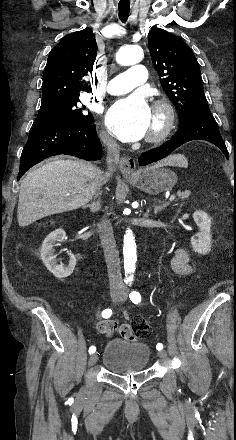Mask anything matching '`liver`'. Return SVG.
<instances>
[{"label": "liver", "instance_id": "6515ba94", "mask_svg": "<svg viewBox=\"0 0 236 440\" xmlns=\"http://www.w3.org/2000/svg\"><path fill=\"white\" fill-rule=\"evenodd\" d=\"M161 165L187 167V160L174 155ZM101 176L98 167L80 160L58 159L31 171L20 186L19 226L26 227L44 217L84 206L95 195Z\"/></svg>", "mask_w": 236, "mask_h": 440}]
</instances>
